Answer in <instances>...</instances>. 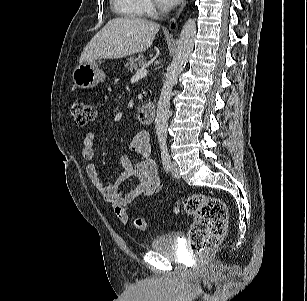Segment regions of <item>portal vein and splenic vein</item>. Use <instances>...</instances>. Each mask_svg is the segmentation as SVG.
Wrapping results in <instances>:
<instances>
[{"mask_svg":"<svg viewBox=\"0 0 307 301\" xmlns=\"http://www.w3.org/2000/svg\"><path fill=\"white\" fill-rule=\"evenodd\" d=\"M147 74H148L147 69L145 67H142V68L137 69V71H136L135 75L132 77V79L137 80V79L145 77Z\"/></svg>","mask_w":307,"mask_h":301,"instance_id":"obj_1","label":"portal vein and splenic vein"}]
</instances>
